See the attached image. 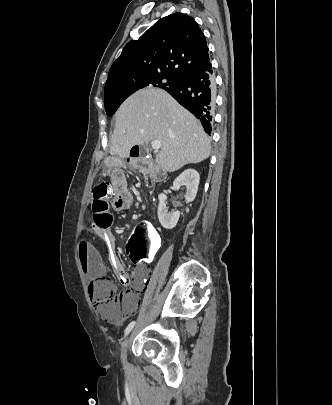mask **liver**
I'll use <instances>...</instances> for the list:
<instances>
[{"label": "liver", "mask_w": 332, "mask_h": 405, "mask_svg": "<svg viewBox=\"0 0 332 405\" xmlns=\"http://www.w3.org/2000/svg\"><path fill=\"white\" fill-rule=\"evenodd\" d=\"M154 140L161 142L155 161L167 172L199 163L211 153L210 139L194 115L167 92L144 89L125 100L115 113L108 164L128 157L134 145Z\"/></svg>", "instance_id": "6515ba94"}]
</instances>
